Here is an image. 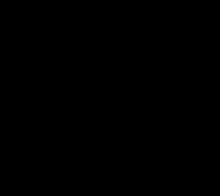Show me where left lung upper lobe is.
<instances>
[{
	"label": "left lung upper lobe",
	"mask_w": 220,
	"mask_h": 196,
	"mask_svg": "<svg viewBox=\"0 0 220 196\" xmlns=\"http://www.w3.org/2000/svg\"><path fill=\"white\" fill-rule=\"evenodd\" d=\"M184 86L175 75L168 76L160 88V115L158 127L162 131H169L180 120L185 99Z\"/></svg>",
	"instance_id": "1"
}]
</instances>
